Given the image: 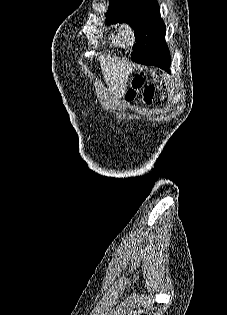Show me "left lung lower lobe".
Returning <instances> with one entry per match:
<instances>
[{
    "label": "left lung lower lobe",
    "mask_w": 227,
    "mask_h": 315,
    "mask_svg": "<svg viewBox=\"0 0 227 315\" xmlns=\"http://www.w3.org/2000/svg\"><path fill=\"white\" fill-rule=\"evenodd\" d=\"M131 58L139 64L155 65L169 71L170 55L162 50L154 38H145L136 43Z\"/></svg>",
    "instance_id": "left-lung-lower-lobe-1"
}]
</instances>
